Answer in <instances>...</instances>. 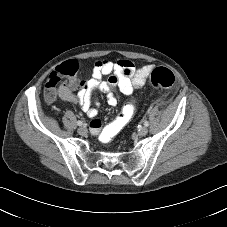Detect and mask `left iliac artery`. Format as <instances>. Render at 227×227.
I'll list each match as a JSON object with an SVG mask.
<instances>
[{"instance_id":"left-iliac-artery-1","label":"left iliac artery","mask_w":227,"mask_h":227,"mask_svg":"<svg viewBox=\"0 0 227 227\" xmlns=\"http://www.w3.org/2000/svg\"><path fill=\"white\" fill-rule=\"evenodd\" d=\"M144 125L147 127V126H149V122L148 121H145L144 122Z\"/></svg>"}]
</instances>
